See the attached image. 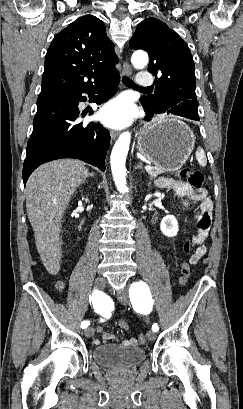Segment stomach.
Returning a JSON list of instances; mask_svg holds the SVG:
<instances>
[{
  "mask_svg": "<svg viewBox=\"0 0 243 409\" xmlns=\"http://www.w3.org/2000/svg\"><path fill=\"white\" fill-rule=\"evenodd\" d=\"M195 145L193 131L184 122L161 116L146 123L139 132L137 149L165 171L180 169Z\"/></svg>",
  "mask_w": 243,
  "mask_h": 409,
  "instance_id": "1",
  "label": "stomach"
}]
</instances>
